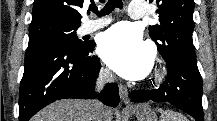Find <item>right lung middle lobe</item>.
<instances>
[{
	"mask_svg": "<svg viewBox=\"0 0 217 121\" xmlns=\"http://www.w3.org/2000/svg\"><path fill=\"white\" fill-rule=\"evenodd\" d=\"M80 25L56 19L31 22L28 47L48 42H62L80 46L82 43L76 35V30Z\"/></svg>",
	"mask_w": 217,
	"mask_h": 121,
	"instance_id": "dd1d6c3e",
	"label": "right lung middle lobe"
}]
</instances>
